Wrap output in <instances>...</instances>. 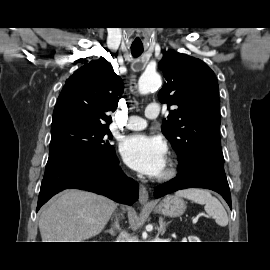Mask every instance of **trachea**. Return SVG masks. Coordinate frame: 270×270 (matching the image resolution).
<instances>
[{
  "label": "trachea",
  "mask_w": 270,
  "mask_h": 270,
  "mask_svg": "<svg viewBox=\"0 0 270 270\" xmlns=\"http://www.w3.org/2000/svg\"><path fill=\"white\" fill-rule=\"evenodd\" d=\"M143 52V48H131V53L133 57L137 58L139 57Z\"/></svg>",
  "instance_id": "trachea-1"
}]
</instances>
